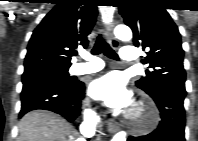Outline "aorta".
I'll use <instances>...</instances> for the list:
<instances>
[{"mask_svg": "<svg viewBox=\"0 0 198 141\" xmlns=\"http://www.w3.org/2000/svg\"><path fill=\"white\" fill-rule=\"evenodd\" d=\"M115 36L122 41H130L132 39V31L125 25H118L114 29ZM112 141H126V132L120 131L112 138Z\"/></svg>", "mask_w": 198, "mask_h": 141, "instance_id": "obj_1", "label": "aorta"}]
</instances>
